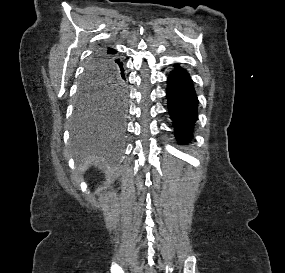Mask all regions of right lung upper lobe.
Returning a JSON list of instances; mask_svg holds the SVG:
<instances>
[{
	"label": "right lung upper lobe",
	"mask_w": 285,
	"mask_h": 273,
	"mask_svg": "<svg viewBox=\"0 0 285 273\" xmlns=\"http://www.w3.org/2000/svg\"><path fill=\"white\" fill-rule=\"evenodd\" d=\"M103 54H105L108 57H113V54L116 53V50L112 49V48H108L107 51L102 50L101 51Z\"/></svg>",
	"instance_id": "right-lung-upper-lobe-1"
}]
</instances>
